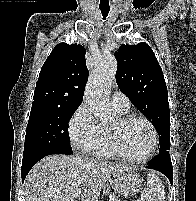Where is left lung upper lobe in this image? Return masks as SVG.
Listing matches in <instances>:
<instances>
[{
  "mask_svg": "<svg viewBox=\"0 0 196 201\" xmlns=\"http://www.w3.org/2000/svg\"><path fill=\"white\" fill-rule=\"evenodd\" d=\"M118 61L117 84L130 101L156 128L160 149H170V111L168 92L162 69L153 50L146 43L122 44Z\"/></svg>",
  "mask_w": 196,
  "mask_h": 201,
  "instance_id": "5c2ea615",
  "label": "left lung upper lobe"
}]
</instances>
